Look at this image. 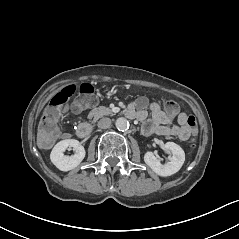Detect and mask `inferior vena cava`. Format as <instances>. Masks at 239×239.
Returning a JSON list of instances; mask_svg holds the SVG:
<instances>
[{"label":"inferior vena cava","mask_w":239,"mask_h":239,"mask_svg":"<svg viewBox=\"0 0 239 239\" xmlns=\"http://www.w3.org/2000/svg\"><path fill=\"white\" fill-rule=\"evenodd\" d=\"M111 125V119L110 118H102L98 121V127L101 129H107Z\"/></svg>","instance_id":"inferior-vena-cava-1"}]
</instances>
